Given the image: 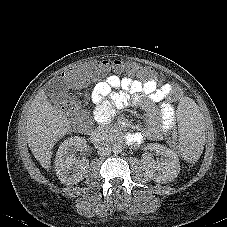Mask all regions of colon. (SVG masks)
I'll use <instances>...</instances> for the list:
<instances>
[{"label":"colon","instance_id":"1","mask_svg":"<svg viewBox=\"0 0 227 227\" xmlns=\"http://www.w3.org/2000/svg\"><path fill=\"white\" fill-rule=\"evenodd\" d=\"M110 68L111 64L106 59L78 65L63 74V81L71 89H82L88 84L91 75L95 74L97 78L102 79L106 76ZM112 68L117 73L122 72L125 75L129 74L131 76L137 75L140 78L145 77L147 80L156 81L157 83L164 82V77L161 76L158 69L148 68L144 64L137 66L131 61L123 63L117 60L113 63ZM178 94H180V89L174 86L168 96L170 99H174ZM55 103L65 113L76 117V124L79 128H85L87 126V114L76 97H58L55 98ZM166 130L168 132L166 135L167 147L170 150H179L180 147L175 124L168 122L166 124Z\"/></svg>","mask_w":227,"mask_h":227}]
</instances>
